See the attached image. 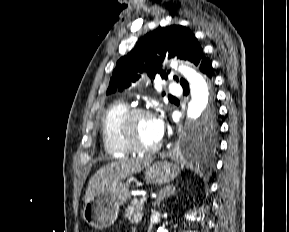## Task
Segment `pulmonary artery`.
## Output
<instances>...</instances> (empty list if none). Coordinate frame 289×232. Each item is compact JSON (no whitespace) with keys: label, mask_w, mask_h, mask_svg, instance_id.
Wrapping results in <instances>:
<instances>
[{"label":"pulmonary artery","mask_w":289,"mask_h":232,"mask_svg":"<svg viewBox=\"0 0 289 232\" xmlns=\"http://www.w3.org/2000/svg\"><path fill=\"white\" fill-rule=\"evenodd\" d=\"M168 90L171 94H180L182 92V88L180 86V84L176 83V82H170L168 85Z\"/></svg>","instance_id":"1"}]
</instances>
